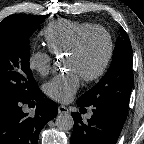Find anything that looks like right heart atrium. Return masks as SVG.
<instances>
[{"label": "right heart atrium", "mask_w": 144, "mask_h": 144, "mask_svg": "<svg viewBox=\"0 0 144 144\" xmlns=\"http://www.w3.org/2000/svg\"><path fill=\"white\" fill-rule=\"evenodd\" d=\"M28 65L31 70L45 76L52 68V53L49 50H33L28 56Z\"/></svg>", "instance_id": "d8ad5b80"}]
</instances>
